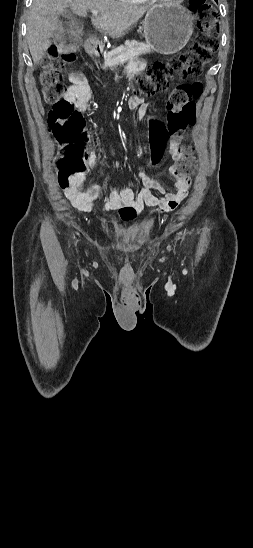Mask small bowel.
Returning a JSON list of instances; mask_svg holds the SVG:
<instances>
[{"instance_id": "obj_1", "label": "small bowel", "mask_w": 253, "mask_h": 548, "mask_svg": "<svg viewBox=\"0 0 253 548\" xmlns=\"http://www.w3.org/2000/svg\"><path fill=\"white\" fill-rule=\"evenodd\" d=\"M144 62L138 61L130 64L127 71H140L144 68ZM70 86L65 94V99L75 105L79 111L85 112L87 104L91 99V91L86 76L81 72H73L69 76ZM129 109L139 108L142 112H146L150 108V103L144 101L140 96L134 95L128 100ZM180 137H170L168 142V150L173 159L177 160L181 146ZM87 164L89 167H94L97 164V155L94 150H91ZM171 174L175 178L174 189L166 190L156 179L152 178L143 168H139L137 176L143 183L144 187L139 192H134L130 188L112 189L105 197L102 211L108 213L110 211L122 208L120 217L124 221H129L135 218L136 213L151 207L157 213H165L174 210L187 196L191 181L189 176L181 174ZM86 174L75 175L69 185L62 186L66 198L78 210L89 212L94 206L97 197L101 192V186L95 184L89 188H85ZM156 193L162 195L161 198L156 196Z\"/></svg>"}]
</instances>
